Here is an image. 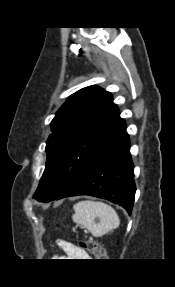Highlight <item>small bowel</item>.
I'll return each mask as SVG.
<instances>
[{
    "instance_id": "c3829d8e",
    "label": "small bowel",
    "mask_w": 175,
    "mask_h": 287,
    "mask_svg": "<svg viewBox=\"0 0 175 287\" xmlns=\"http://www.w3.org/2000/svg\"><path fill=\"white\" fill-rule=\"evenodd\" d=\"M56 244L64 250V252L66 254H68L69 256H74V257H78V256H85L86 254L82 251H79L78 249H76L72 244L62 240V239H58L56 240Z\"/></svg>"
}]
</instances>
